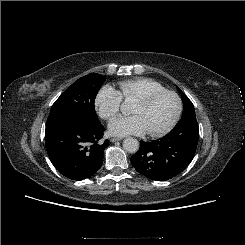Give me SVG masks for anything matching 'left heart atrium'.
Listing matches in <instances>:
<instances>
[{
  "label": "left heart atrium",
  "instance_id": "left-heart-atrium-1",
  "mask_svg": "<svg viewBox=\"0 0 245 245\" xmlns=\"http://www.w3.org/2000/svg\"><path fill=\"white\" fill-rule=\"evenodd\" d=\"M109 132L116 136L143 135L147 131L139 116L115 118L109 125Z\"/></svg>",
  "mask_w": 245,
  "mask_h": 245
}]
</instances>
